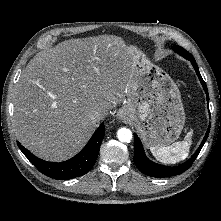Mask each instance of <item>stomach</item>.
I'll list each match as a JSON object with an SVG mask.
<instances>
[{
  "label": "stomach",
  "mask_w": 221,
  "mask_h": 221,
  "mask_svg": "<svg viewBox=\"0 0 221 221\" xmlns=\"http://www.w3.org/2000/svg\"><path fill=\"white\" fill-rule=\"evenodd\" d=\"M129 48L133 56L131 76L120 117L137 129L146 146H168L179 138L185 124L179 88L139 49Z\"/></svg>",
  "instance_id": "0dacf381"
}]
</instances>
